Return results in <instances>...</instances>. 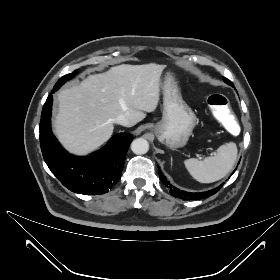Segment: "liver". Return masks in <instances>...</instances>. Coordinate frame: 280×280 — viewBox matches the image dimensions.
<instances>
[{
	"mask_svg": "<svg viewBox=\"0 0 280 280\" xmlns=\"http://www.w3.org/2000/svg\"><path fill=\"white\" fill-rule=\"evenodd\" d=\"M165 65L122 64L89 75L58 94L55 133L71 153L86 154L112 135L114 119L125 115L134 126L156 110Z\"/></svg>",
	"mask_w": 280,
	"mask_h": 280,
	"instance_id": "1",
	"label": "liver"
}]
</instances>
